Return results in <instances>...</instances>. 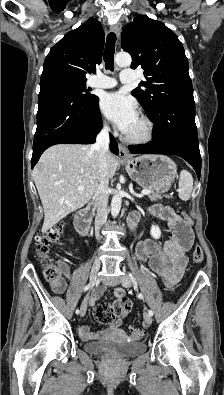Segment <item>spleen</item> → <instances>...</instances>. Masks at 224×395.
<instances>
[{"mask_svg":"<svg viewBox=\"0 0 224 395\" xmlns=\"http://www.w3.org/2000/svg\"><path fill=\"white\" fill-rule=\"evenodd\" d=\"M193 189V177L189 171L182 170L179 177V198L183 201L190 199Z\"/></svg>","mask_w":224,"mask_h":395,"instance_id":"1","label":"spleen"}]
</instances>
